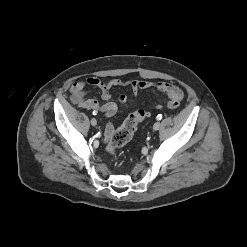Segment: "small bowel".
I'll list each match as a JSON object with an SVG mask.
<instances>
[{
    "mask_svg": "<svg viewBox=\"0 0 247 247\" xmlns=\"http://www.w3.org/2000/svg\"><path fill=\"white\" fill-rule=\"evenodd\" d=\"M87 84L98 88L101 91V97L105 104H100L96 99L89 98L85 90V83L78 81L73 83L71 87V100L73 103L81 108L89 109L102 113L105 117H115L119 113L117 104L111 99V89L114 87H130L134 98L137 97L141 90H151L165 94L168 98V108H177L183 100V91L176 85L169 82H152L147 80H128L111 79L109 81L101 80L97 77H90L87 79ZM119 102L124 108H127L133 103L126 95L119 97ZM114 131L112 124L108 123L105 126L104 136L108 139Z\"/></svg>",
    "mask_w": 247,
    "mask_h": 247,
    "instance_id": "obj_1",
    "label": "small bowel"
}]
</instances>
